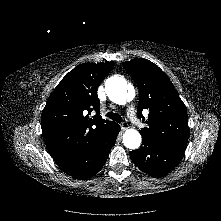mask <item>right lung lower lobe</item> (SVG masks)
Returning <instances> with one entry per match:
<instances>
[{"instance_id": "right-lung-lower-lobe-1", "label": "right lung lower lobe", "mask_w": 221, "mask_h": 221, "mask_svg": "<svg viewBox=\"0 0 221 221\" xmlns=\"http://www.w3.org/2000/svg\"><path fill=\"white\" fill-rule=\"evenodd\" d=\"M120 126L116 124L107 135L97 140L90 148L59 167L68 175L84 180L98 173L105 164L112 146L116 142Z\"/></svg>"}]
</instances>
